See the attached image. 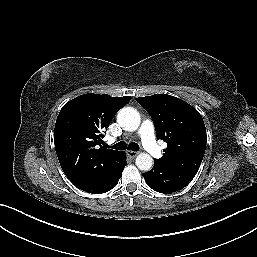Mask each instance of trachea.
Wrapping results in <instances>:
<instances>
[{
	"mask_svg": "<svg viewBox=\"0 0 257 257\" xmlns=\"http://www.w3.org/2000/svg\"><path fill=\"white\" fill-rule=\"evenodd\" d=\"M111 148L116 149V150H125V149H129L132 151H138L139 150V146L136 143H130V144H126L124 141H121L113 146H111Z\"/></svg>",
	"mask_w": 257,
	"mask_h": 257,
	"instance_id": "3493384b",
	"label": "trachea"
}]
</instances>
